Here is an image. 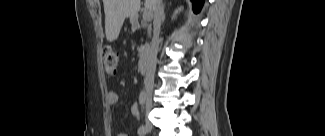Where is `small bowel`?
<instances>
[{
  "label": "small bowel",
  "mask_w": 325,
  "mask_h": 136,
  "mask_svg": "<svg viewBox=\"0 0 325 136\" xmlns=\"http://www.w3.org/2000/svg\"><path fill=\"white\" fill-rule=\"evenodd\" d=\"M118 93L115 90H108L106 93V101L107 104L109 105H113L116 104L118 102ZM128 108L131 112L132 115H134L135 117H139L140 116V108L137 104L136 101L132 100L128 103ZM119 136H125V134H119Z\"/></svg>",
  "instance_id": "c3829d8e"
}]
</instances>
